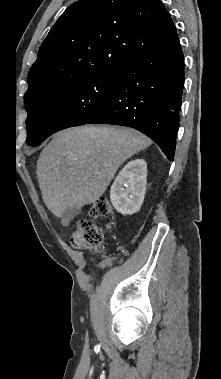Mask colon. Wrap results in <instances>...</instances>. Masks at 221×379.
I'll return each mask as SVG.
<instances>
[{
    "instance_id": "5ec220e1",
    "label": "colon",
    "mask_w": 221,
    "mask_h": 379,
    "mask_svg": "<svg viewBox=\"0 0 221 379\" xmlns=\"http://www.w3.org/2000/svg\"><path fill=\"white\" fill-rule=\"evenodd\" d=\"M93 217H107L112 214V207L105 198H100L90 208ZM102 240V228L87 219H80L71 235V244L77 249L96 247Z\"/></svg>"
}]
</instances>
